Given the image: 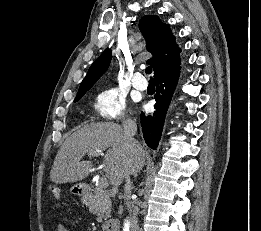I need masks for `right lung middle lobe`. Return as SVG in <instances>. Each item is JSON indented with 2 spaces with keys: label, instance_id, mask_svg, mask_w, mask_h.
Segmentation results:
<instances>
[{
  "label": "right lung middle lobe",
  "instance_id": "right-lung-middle-lobe-1",
  "mask_svg": "<svg viewBox=\"0 0 261 231\" xmlns=\"http://www.w3.org/2000/svg\"><path fill=\"white\" fill-rule=\"evenodd\" d=\"M85 93H86V92L78 93V94L76 95V97H75L74 102H77L78 100H80Z\"/></svg>",
  "mask_w": 261,
  "mask_h": 231
}]
</instances>
